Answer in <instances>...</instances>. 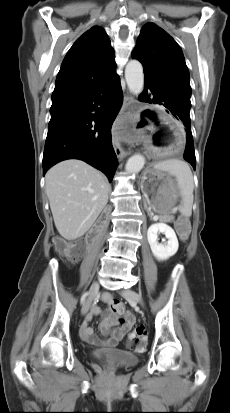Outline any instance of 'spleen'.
<instances>
[{
	"label": "spleen",
	"mask_w": 230,
	"mask_h": 413,
	"mask_svg": "<svg viewBox=\"0 0 230 413\" xmlns=\"http://www.w3.org/2000/svg\"><path fill=\"white\" fill-rule=\"evenodd\" d=\"M154 169L174 176L181 195L180 212L185 217L192 214L194 180L189 165L179 159H168L157 163Z\"/></svg>",
	"instance_id": "obj_1"
}]
</instances>
